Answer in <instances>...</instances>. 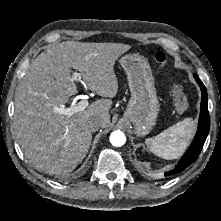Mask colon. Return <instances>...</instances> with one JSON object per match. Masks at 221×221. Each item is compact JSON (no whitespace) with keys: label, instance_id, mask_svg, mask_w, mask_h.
Here are the masks:
<instances>
[{"label":"colon","instance_id":"colon-1","mask_svg":"<svg viewBox=\"0 0 221 221\" xmlns=\"http://www.w3.org/2000/svg\"><path fill=\"white\" fill-rule=\"evenodd\" d=\"M155 60L158 64L164 65L167 62V55L163 51L155 53ZM173 106L177 112H184L188 108L187 96L180 85H174L171 89Z\"/></svg>","mask_w":221,"mask_h":221}]
</instances>
